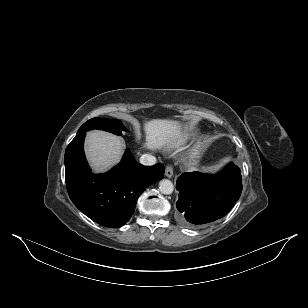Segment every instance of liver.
Segmentation results:
<instances>
[{
	"instance_id": "liver-1",
	"label": "liver",
	"mask_w": 308,
	"mask_h": 308,
	"mask_svg": "<svg viewBox=\"0 0 308 308\" xmlns=\"http://www.w3.org/2000/svg\"><path fill=\"white\" fill-rule=\"evenodd\" d=\"M143 127L146 136L144 147L149 150L178 148L185 141V132L176 121L153 119L145 122ZM85 152L92 169L105 172L120 161L123 145L118 136L94 130L87 134Z\"/></svg>"
}]
</instances>
